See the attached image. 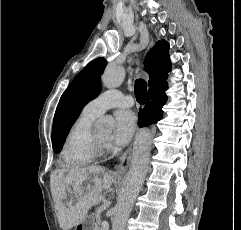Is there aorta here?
I'll return each mask as SVG.
<instances>
[{
	"mask_svg": "<svg viewBox=\"0 0 241 230\" xmlns=\"http://www.w3.org/2000/svg\"><path fill=\"white\" fill-rule=\"evenodd\" d=\"M124 76L125 72L121 66H109L104 71L101 82L108 89L116 88L122 84ZM97 125L108 132L114 126V120L102 117L97 121ZM151 143V133L148 129H142L136 134L129 172L113 209L112 230L126 229L127 220L147 174Z\"/></svg>",
	"mask_w": 241,
	"mask_h": 230,
	"instance_id": "obj_1",
	"label": "aorta"
}]
</instances>
